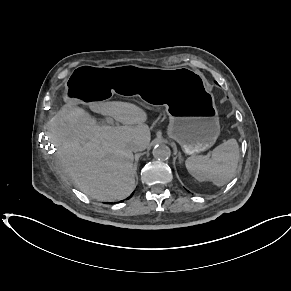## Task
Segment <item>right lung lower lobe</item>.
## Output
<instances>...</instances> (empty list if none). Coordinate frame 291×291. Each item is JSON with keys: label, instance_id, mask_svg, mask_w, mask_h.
Returning a JSON list of instances; mask_svg holds the SVG:
<instances>
[{"label": "right lung lower lobe", "instance_id": "98d812e1", "mask_svg": "<svg viewBox=\"0 0 291 291\" xmlns=\"http://www.w3.org/2000/svg\"><path fill=\"white\" fill-rule=\"evenodd\" d=\"M132 195H133V193L127 198V199H129V198H131L132 197Z\"/></svg>", "mask_w": 291, "mask_h": 291}]
</instances>
